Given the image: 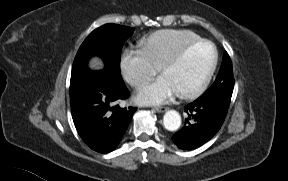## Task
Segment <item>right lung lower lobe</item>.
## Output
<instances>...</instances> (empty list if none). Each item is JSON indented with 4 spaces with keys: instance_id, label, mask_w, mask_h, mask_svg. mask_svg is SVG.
Masks as SVG:
<instances>
[{
    "instance_id": "right-lung-lower-lobe-1",
    "label": "right lung lower lobe",
    "mask_w": 288,
    "mask_h": 181,
    "mask_svg": "<svg viewBox=\"0 0 288 181\" xmlns=\"http://www.w3.org/2000/svg\"><path fill=\"white\" fill-rule=\"evenodd\" d=\"M71 102L72 118L78 134L99 153L113 151L123 139L134 107L112 105L128 97L124 82H114L104 71H87L77 81Z\"/></svg>"
}]
</instances>
